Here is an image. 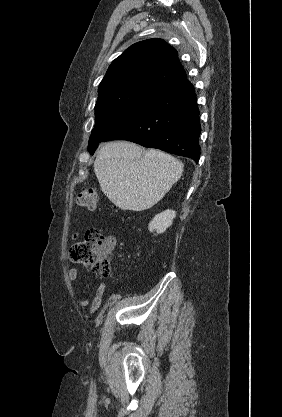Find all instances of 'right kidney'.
Here are the masks:
<instances>
[{"label": "right kidney", "mask_w": 282, "mask_h": 417, "mask_svg": "<svg viewBox=\"0 0 282 417\" xmlns=\"http://www.w3.org/2000/svg\"><path fill=\"white\" fill-rule=\"evenodd\" d=\"M176 217V211H170V209H167V211H163V213H159V215H155L154 219L150 221L149 223V231L150 233H165L166 229L168 227H171L173 223V219Z\"/></svg>", "instance_id": "obj_1"}]
</instances>
